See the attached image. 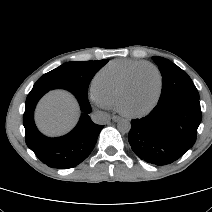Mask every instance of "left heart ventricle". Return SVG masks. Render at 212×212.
Masks as SVG:
<instances>
[{
  "mask_svg": "<svg viewBox=\"0 0 212 212\" xmlns=\"http://www.w3.org/2000/svg\"><path fill=\"white\" fill-rule=\"evenodd\" d=\"M159 80L151 68L139 70L123 100L122 107L130 113L146 110L157 96Z\"/></svg>",
  "mask_w": 212,
  "mask_h": 212,
  "instance_id": "obj_1",
  "label": "left heart ventricle"
}]
</instances>
